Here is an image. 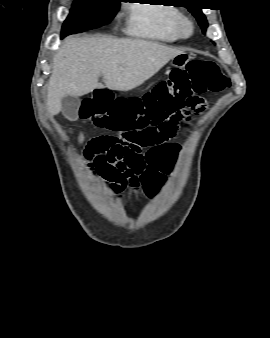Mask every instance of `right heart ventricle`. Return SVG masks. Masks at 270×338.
<instances>
[{
  "label": "right heart ventricle",
  "mask_w": 270,
  "mask_h": 338,
  "mask_svg": "<svg viewBox=\"0 0 270 338\" xmlns=\"http://www.w3.org/2000/svg\"><path fill=\"white\" fill-rule=\"evenodd\" d=\"M168 5L171 4L160 0L134 4L129 24L131 34L155 41L176 40L175 23L181 13L177 7Z\"/></svg>",
  "instance_id": "1"
}]
</instances>
